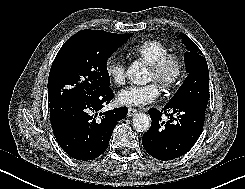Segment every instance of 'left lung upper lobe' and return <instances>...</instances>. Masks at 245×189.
Wrapping results in <instances>:
<instances>
[{
  "instance_id": "obj_1",
  "label": "left lung upper lobe",
  "mask_w": 245,
  "mask_h": 189,
  "mask_svg": "<svg viewBox=\"0 0 245 189\" xmlns=\"http://www.w3.org/2000/svg\"><path fill=\"white\" fill-rule=\"evenodd\" d=\"M181 37L187 47L184 60L188 76L168 103L177 105L196 102L207 106L209 98V72L206 59L202 56L200 49L187 35L181 34Z\"/></svg>"
}]
</instances>
